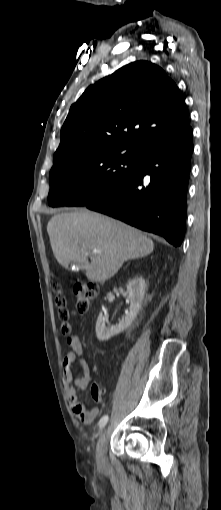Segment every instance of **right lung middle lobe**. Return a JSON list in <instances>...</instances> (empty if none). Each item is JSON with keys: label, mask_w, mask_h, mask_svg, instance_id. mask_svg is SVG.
Here are the masks:
<instances>
[{"label": "right lung middle lobe", "mask_w": 221, "mask_h": 510, "mask_svg": "<svg viewBox=\"0 0 221 510\" xmlns=\"http://www.w3.org/2000/svg\"><path fill=\"white\" fill-rule=\"evenodd\" d=\"M141 155L137 147L104 146L68 156L50 171L48 204L84 206L99 199L137 172Z\"/></svg>", "instance_id": "right-lung-middle-lobe-1"}]
</instances>
